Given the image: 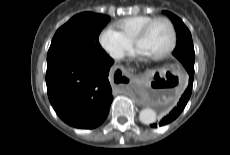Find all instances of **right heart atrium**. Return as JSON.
<instances>
[{
  "label": "right heart atrium",
  "mask_w": 230,
  "mask_h": 155,
  "mask_svg": "<svg viewBox=\"0 0 230 155\" xmlns=\"http://www.w3.org/2000/svg\"><path fill=\"white\" fill-rule=\"evenodd\" d=\"M98 42L103 51L114 60L122 59L133 46V42L113 26L105 27L100 31Z\"/></svg>",
  "instance_id": "obj_1"
}]
</instances>
